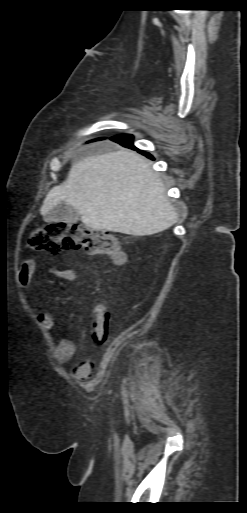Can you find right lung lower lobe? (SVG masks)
<instances>
[{
	"label": "right lung lower lobe",
	"instance_id": "98d812e1",
	"mask_svg": "<svg viewBox=\"0 0 247 513\" xmlns=\"http://www.w3.org/2000/svg\"><path fill=\"white\" fill-rule=\"evenodd\" d=\"M111 140L118 142L125 147H129V148L136 150V148L133 146V136L132 135H125V134L117 135V136L112 137ZM139 152L144 154L148 158L153 159V157L151 155H149L148 153H145L142 151H139Z\"/></svg>",
	"mask_w": 247,
	"mask_h": 513
}]
</instances>
